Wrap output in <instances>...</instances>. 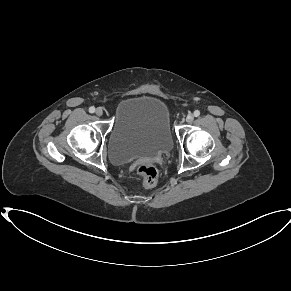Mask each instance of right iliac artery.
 <instances>
[{"label":"right iliac artery","mask_w":291,"mask_h":291,"mask_svg":"<svg viewBox=\"0 0 291 291\" xmlns=\"http://www.w3.org/2000/svg\"><path fill=\"white\" fill-rule=\"evenodd\" d=\"M89 112H90V113H94V112H95V108H94V107H90V108H89Z\"/></svg>","instance_id":"82829eb1"}]
</instances>
